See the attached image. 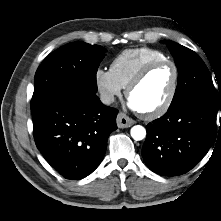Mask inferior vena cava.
Instances as JSON below:
<instances>
[{"label": "inferior vena cava", "mask_w": 221, "mask_h": 221, "mask_svg": "<svg viewBox=\"0 0 221 221\" xmlns=\"http://www.w3.org/2000/svg\"><path fill=\"white\" fill-rule=\"evenodd\" d=\"M100 100L105 105H110L114 102V95L108 92H103L100 95Z\"/></svg>", "instance_id": "obj_1"}]
</instances>
